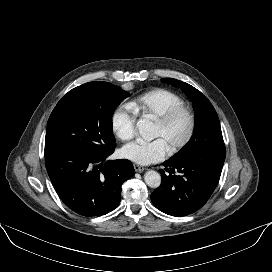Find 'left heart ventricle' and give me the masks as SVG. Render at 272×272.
I'll use <instances>...</instances> for the list:
<instances>
[{
  "mask_svg": "<svg viewBox=\"0 0 272 272\" xmlns=\"http://www.w3.org/2000/svg\"><path fill=\"white\" fill-rule=\"evenodd\" d=\"M188 129V119L182 115L176 118L167 127H162L158 123L155 124L154 136L161 138L167 148L180 141L186 134Z\"/></svg>",
  "mask_w": 272,
  "mask_h": 272,
  "instance_id": "left-heart-ventricle-1",
  "label": "left heart ventricle"
}]
</instances>
